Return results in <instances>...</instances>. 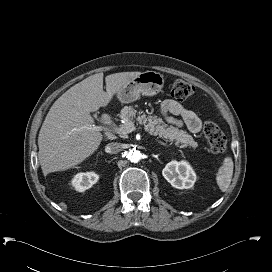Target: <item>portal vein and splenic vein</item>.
<instances>
[{"label":"portal vein and splenic vein","mask_w":272,"mask_h":272,"mask_svg":"<svg viewBox=\"0 0 272 272\" xmlns=\"http://www.w3.org/2000/svg\"><path fill=\"white\" fill-rule=\"evenodd\" d=\"M94 129L96 130H101L102 127L96 126L94 127ZM136 130V127L134 126L133 122H129L127 123L125 126L119 127V128H114L112 131L121 134V135H126L132 131ZM158 143H160L161 145L165 146V147H169V145L161 140H158Z\"/></svg>","instance_id":"obj_1"}]
</instances>
